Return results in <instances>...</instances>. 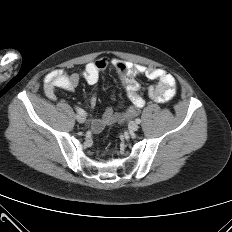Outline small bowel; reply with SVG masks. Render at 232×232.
<instances>
[{
	"mask_svg": "<svg viewBox=\"0 0 232 232\" xmlns=\"http://www.w3.org/2000/svg\"><path fill=\"white\" fill-rule=\"evenodd\" d=\"M111 66L119 75L131 102L136 101L131 107L136 115L144 105V100L139 99L138 91L140 84L137 81L139 75L150 80H157L158 83L148 89L149 97L157 103H166L174 98L177 92L176 80L172 74L162 68L148 67L142 64L131 63L120 59L107 57L98 58L89 64L81 72L67 73L63 70H53L44 79V92L51 100H56L55 90L61 88L73 91L81 80L89 85H96L100 74ZM97 102L96 93L90 98V105L94 107ZM128 109V108H127ZM125 109L124 111H126ZM121 112H115L112 107L105 110L101 117L92 121L91 127L94 132H100L105 126L117 123V117ZM133 115V116H134Z\"/></svg>",
	"mask_w": 232,
	"mask_h": 232,
	"instance_id": "c3829d8e",
	"label": "small bowel"
}]
</instances>
